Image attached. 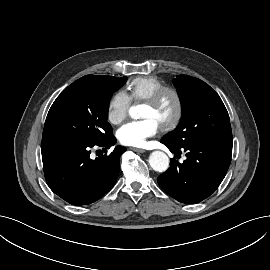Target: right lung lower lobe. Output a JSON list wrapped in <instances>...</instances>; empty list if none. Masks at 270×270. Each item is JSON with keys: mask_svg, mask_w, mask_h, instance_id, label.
I'll return each mask as SVG.
<instances>
[{"mask_svg": "<svg viewBox=\"0 0 270 270\" xmlns=\"http://www.w3.org/2000/svg\"><path fill=\"white\" fill-rule=\"evenodd\" d=\"M115 143L112 134L97 145L64 140L42 141L43 170L50 189L76 206L100 199L115 184L120 170L119 159L126 148L116 146L110 155L95 160L90 158V150L97 146L108 149Z\"/></svg>", "mask_w": 270, "mask_h": 270, "instance_id": "right-lung-lower-lobe-1", "label": "right lung lower lobe"}]
</instances>
